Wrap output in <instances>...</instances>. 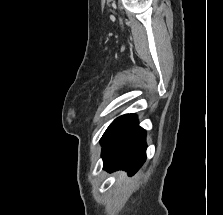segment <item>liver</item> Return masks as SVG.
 Segmentation results:
<instances>
[{
	"label": "liver",
	"instance_id": "obj_1",
	"mask_svg": "<svg viewBox=\"0 0 223 215\" xmlns=\"http://www.w3.org/2000/svg\"><path fill=\"white\" fill-rule=\"evenodd\" d=\"M123 177H126L125 171H119V179H118V181H121V179H123Z\"/></svg>",
	"mask_w": 223,
	"mask_h": 215
}]
</instances>
